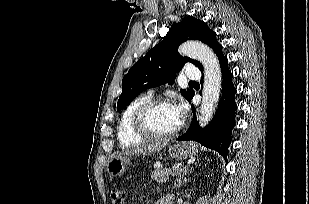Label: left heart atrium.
<instances>
[{"mask_svg":"<svg viewBox=\"0 0 309 204\" xmlns=\"http://www.w3.org/2000/svg\"><path fill=\"white\" fill-rule=\"evenodd\" d=\"M177 112V115L179 117L180 122H182L185 118L186 112H187V106L185 103L180 102L179 104L174 106Z\"/></svg>","mask_w":309,"mask_h":204,"instance_id":"39dd6f15","label":"left heart atrium"}]
</instances>
